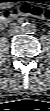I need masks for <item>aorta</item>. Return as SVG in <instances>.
<instances>
[{"label":"aorta","instance_id":"aorta-1","mask_svg":"<svg viewBox=\"0 0 50 111\" xmlns=\"http://www.w3.org/2000/svg\"><path fill=\"white\" fill-rule=\"evenodd\" d=\"M22 31L27 34H31L36 31V26L32 23H24L22 25Z\"/></svg>","mask_w":50,"mask_h":111}]
</instances>
